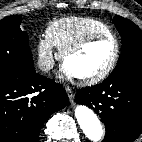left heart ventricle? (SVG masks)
<instances>
[{
    "label": "left heart ventricle",
    "mask_w": 142,
    "mask_h": 142,
    "mask_svg": "<svg viewBox=\"0 0 142 142\" xmlns=\"http://www.w3.org/2000/svg\"><path fill=\"white\" fill-rule=\"evenodd\" d=\"M114 52L113 41L109 39L95 41L66 60V71L77 77L95 75L108 66Z\"/></svg>",
    "instance_id": "left-heart-ventricle-1"
}]
</instances>
